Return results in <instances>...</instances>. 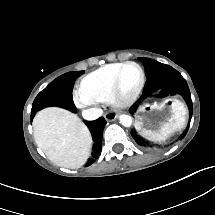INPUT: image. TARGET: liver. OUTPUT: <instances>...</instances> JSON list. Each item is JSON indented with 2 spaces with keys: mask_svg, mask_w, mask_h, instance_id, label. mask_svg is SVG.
I'll return each instance as SVG.
<instances>
[{
  "mask_svg": "<svg viewBox=\"0 0 215 215\" xmlns=\"http://www.w3.org/2000/svg\"><path fill=\"white\" fill-rule=\"evenodd\" d=\"M37 146L59 166L76 169L90 156L92 137L88 127L74 113L59 107L39 111L33 120Z\"/></svg>",
  "mask_w": 215,
  "mask_h": 215,
  "instance_id": "liver-1",
  "label": "liver"
}]
</instances>
